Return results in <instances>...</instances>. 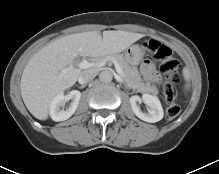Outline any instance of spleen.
Here are the masks:
<instances>
[{
	"label": "spleen",
	"instance_id": "3e777b00",
	"mask_svg": "<svg viewBox=\"0 0 219 174\" xmlns=\"http://www.w3.org/2000/svg\"><path fill=\"white\" fill-rule=\"evenodd\" d=\"M183 74H184L185 80H186V81H189V79H190L189 71H188L187 69H184ZM186 87L188 88L189 85H186Z\"/></svg>",
	"mask_w": 219,
	"mask_h": 174
}]
</instances>
